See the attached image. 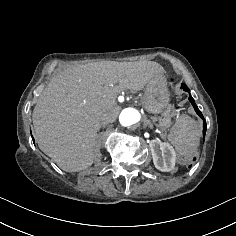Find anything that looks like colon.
<instances>
[{"label":"colon","instance_id":"1","mask_svg":"<svg viewBox=\"0 0 236 236\" xmlns=\"http://www.w3.org/2000/svg\"><path fill=\"white\" fill-rule=\"evenodd\" d=\"M178 110H179V109L176 107V108L174 109V112H178Z\"/></svg>","mask_w":236,"mask_h":236}]
</instances>
